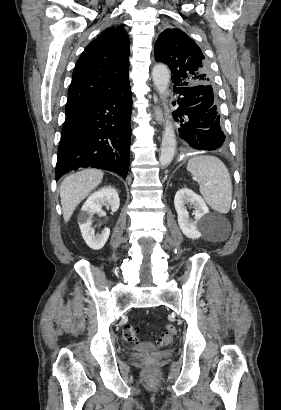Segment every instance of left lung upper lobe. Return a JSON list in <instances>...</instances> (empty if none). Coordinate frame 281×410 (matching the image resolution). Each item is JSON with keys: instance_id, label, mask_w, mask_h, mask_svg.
<instances>
[{"instance_id": "5c2ea615", "label": "left lung upper lobe", "mask_w": 281, "mask_h": 410, "mask_svg": "<svg viewBox=\"0 0 281 410\" xmlns=\"http://www.w3.org/2000/svg\"><path fill=\"white\" fill-rule=\"evenodd\" d=\"M155 60L168 65L174 87L213 84L210 67L200 48L180 29L160 33L155 43Z\"/></svg>"}]
</instances>
